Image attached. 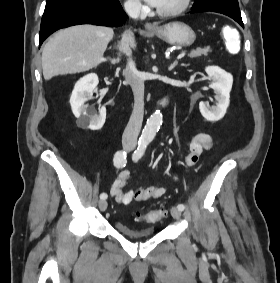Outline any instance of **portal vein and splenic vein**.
I'll return each mask as SVG.
<instances>
[{"label":"portal vein and splenic vein","instance_id":"obj_1","mask_svg":"<svg viewBox=\"0 0 280 283\" xmlns=\"http://www.w3.org/2000/svg\"><path fill=\"white\" fill-rule=\"evenodd\" d=\"M186 52H182L177 56V59L180 60L185 56Z\"/></svg>","mask_w":280,"mask_h":283}]
</instances>
